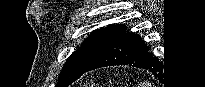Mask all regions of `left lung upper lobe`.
<instances>
[{
  "label": "left lung upper lobe",
  "mask_w": 205,
  "mask_h": 87,
  "mask_svg": "<svg viewBox=\"0 0 205 87\" xmlns=\"http://www.w3.org/2000/svg\"><path fill=\"white\" fill-rule=\"evenodd\" d=\"M119 25H110L92 32L82 46L72 53L62 68L56 87H67L90 66L102 46Z\"/></svg>",
  "instance_id": "obj_1"
}]
</instances>
